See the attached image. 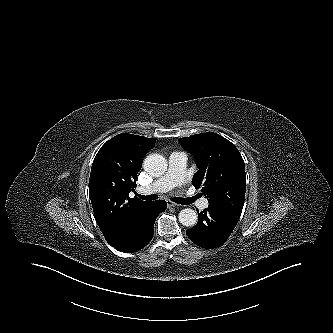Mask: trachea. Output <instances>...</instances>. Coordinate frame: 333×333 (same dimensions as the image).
I'll use <instances>...</instances> for the list:
<instances>
[{
  "mask_svg": "<svg viewBox=\"0 0 333 333\" xmlns=\"http://www.w3.org/2000/svg\"><path fill=\"white\" fill-rule=\"evenodd\" d=\"M137 196L142 199V200H146V201H152V200H156L158 198L157 195H147V196H144V195H140V194H137ZM198 197L195 196V197H190V198H173L172 201L175 202V203H178V204H182V205H189V204H192Z\"/></svg>",
  "mask_w": 333,
  "mask_h": 333,
  "instance_id": "trachea-1",
  "label": "trachea"
}]
</instances>
